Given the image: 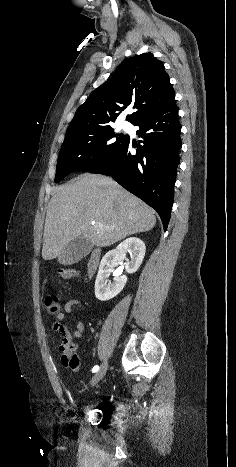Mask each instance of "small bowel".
<instances>
[{
	"label": "small bowel",
	"mask_w": 236,
	"mask_h": 467,
	"mask_svg": "<svg viewBox=\"0 0 236 467\" xmlns=\"http://www.w3.org/2000/svg\"><path fill=\"white\" fill-rule=\"evenodd\" d=\"M75 310H80L81 312L84 310L83 303L78 298H72L65 303L64 311L57 314V321L53 324V328L59 331L62 335V343L59 346L61 364L65 368L73 371H77L79 369V361L77 358L76 363L73 364L71 361V353L78 348V343L75 339L80 338L83 335L85 324L82 319H78L74 328L70 330L66 326L62 325L61 322L65 321L67 313H72Z\"/></svg>",
	"instance_id": "obj_1"
}]
</instances>
